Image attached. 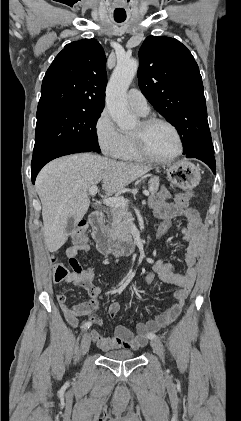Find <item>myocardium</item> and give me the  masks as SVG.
<instances>
[{
    "instance_id": "obj_1",
    "label": "myocardium",
    "mask_w": 241,
    "mask_h": 421,
    "mask_svg": "<svg viewBox=\"0 0 241 421\" xmlns=\"http://www.w3.org/2000/svg\"><path fill=\"white\" fill-rule=\"evenodd\" d=\"M156 124H164L171 128L177 138L178 147L174 154L169 157L159 158L154 156L148 149L146 143V135L148 130L156 125ZM132 137L134 140L135 147L138 153L145 159L153 163L157 164H166L176 160L183 152V138L182 135L175 124L170 122L167 119L159 118V117H147L144 118L139 122V128L132 132Z\"/></svg>"
}]
</instances>
